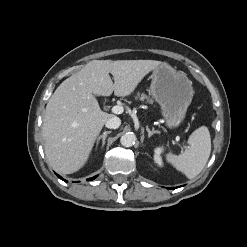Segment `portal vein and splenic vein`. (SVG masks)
Masks as SVG:
<instances>
[{
  "label": "portal vein and splenic vein",
  "mask_w": 247,
  "mask_h": 247,
  "mask_svg": "<svg viewBox=\"0 0 247 247\" xmlns=\"http://www.w3.org/2000/svg\"><path fill=\"white\" fill-rule=\"evenodd\" d=\"M124 111V108L122 106L116 105L112 107V112L115 114H122Z\"/></svg>",
  "instance_id": "1"
}]
</instances>
